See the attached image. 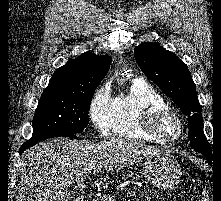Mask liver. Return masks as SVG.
<instances>
[{
    "label": "liver",
    "instance_id": "1",
    "mask_svg": "<svg viewBox=\"0 0 221 201\" xmlns=\"http://www.w3.org/2000/svg\"><path fill=\"white\" fill-rule=\"evenodd\" d=\"M160 151L164 150L125 138L41 142L22 155L16 201H69L68 186L95 174V169L118 171ZM108 178L101 176L103 181Z\"/></svg>",
    "mask_w": 221,
    "mask_h": 201
}]
</instances>
